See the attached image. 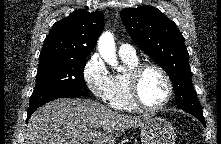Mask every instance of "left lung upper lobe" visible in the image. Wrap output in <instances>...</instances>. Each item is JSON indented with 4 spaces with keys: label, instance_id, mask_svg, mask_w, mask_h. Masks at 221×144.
<instances>
[{
    "label": "left lung upper lobe",
    "instance_id": "5c2ea615",
    "mask_svg": "<svg viewBox=\"0 0 221 144\" xmlns=\"http://www.w3.org/2000/svg\"><path fill=\"white\" fill-rule=\"evenodd\" d=\"M120 16L132 40L168 74L178 108L203 115L193 90L184 37L176 24L149 5L127 8Z\"/></svg>",
    "mask_w": 221,
    "mask_h": 144
}]
</instances>
